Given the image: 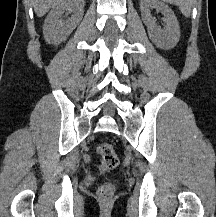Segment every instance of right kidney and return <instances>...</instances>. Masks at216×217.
<instances>
[{
    "label": "right kidney",
    "mask_w": 216,
    "mask_h": 217,
    "mask_svg": "<svg viewBox=\"0 0 216 217\" xmlns=\"http://www.w3.org/2000/svg\"><path fill=\"white\" fill-rule=\"evenodd\" d=\"M64 13H70L66 20ZM84 13V0H59L51 9L43 26L44 38L52 44H59L66 40L69 34L82 20Z\"/></svg>",
    "instance_id": "obj_1"
}]
</instances>
